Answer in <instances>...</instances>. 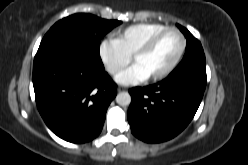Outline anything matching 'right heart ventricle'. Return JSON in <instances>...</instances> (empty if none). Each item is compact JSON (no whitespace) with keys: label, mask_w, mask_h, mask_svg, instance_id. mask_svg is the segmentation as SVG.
Segmentation results:
<instances>
[{"label":"right heart ventricle","mask_w":248,"mask_h":165,"mask_svg":"<svg viewBox=\"0 0 248 165\" xmlns=\"http://www.w3.org/2000/svg\"><path fill=\"white\" fill-rule=\"evenodd\" d=\"M165 27L160 23L133 24L118 30L114 34V39L129 56H132L152 34Z\"/></svg>","instance_id":"e07e8e85"}]
</instances>
